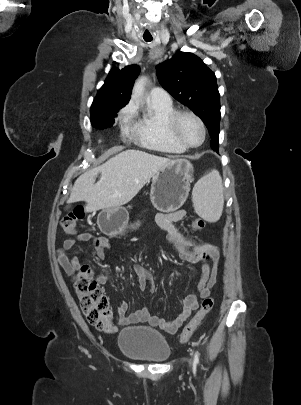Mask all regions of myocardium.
Here are the masks:
<instances>
[{
	"label": "myocardium",
	"instance_id": "f54148a6",
	"mask_svg": "<svg viewBox=\"0 0 301 405\" xmlns=\"http://www.w3.org/2000/svg\"><path fill=\"white\" fill-rule=\"evenodd\" d=\"M189 116L192 117L200 126L201 131H202V139L201 142L197 145H191L188 144L180 135L179 133V123L180 120L185 117ZM167 130L169 134L183 147L186 149H195L203 145L206 139V127L203 122V120L194 112L192 111H187V110H181V111H175L167 120L166 124Z\"/></svg>",
	"mask_w": 301,
	"mask_h": 405
}]
</instances>
